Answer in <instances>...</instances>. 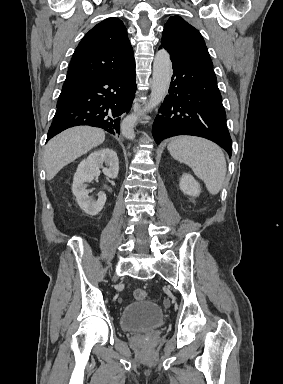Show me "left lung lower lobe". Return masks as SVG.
Here are the masks:
<instances>
[{"mask_svg":"<svg viewBox=\"0 0 283 384\" xmlns=\"http://www.w3.org/2000/svg\"><path fill=\"white\" fill-rule=\"evenodd\" d=\"M170 57L174 73L153 124L155 141L176 135L200 136L220 145L231 157L232 141L213 68Z\"/></svg>","mask_w":283,"mask_h":384,"instance_id":"left-lung-lower-lobe-1","label":"left lung lower lobe"}]
</instances>
